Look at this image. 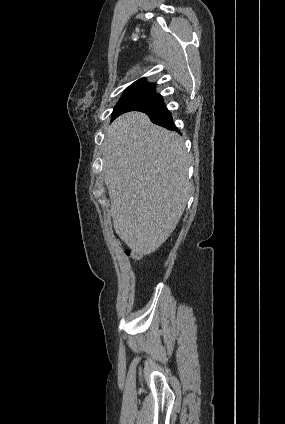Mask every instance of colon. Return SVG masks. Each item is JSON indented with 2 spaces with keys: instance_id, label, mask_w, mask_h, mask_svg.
Instances as JSON below:
<instances>
[{
  "instance_id": "1",
  "label": "colon",
  "mask_w": 285,
  "mask_h": 424,
  "mask_svg": "<svg viewBox=\"0 0 285 424\" xmlns=\"http://www.w3.org/2000/svg\"><path fill=\"white\" fill-rule=\"evenodd\" d=\"M126 252H127V255L132 257V258H138L139 257V254L135 251L127 250Z\"/></svg>"
}]
</instances>
